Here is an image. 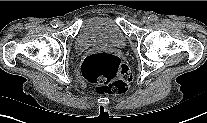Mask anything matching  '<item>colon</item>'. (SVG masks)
Returning <instances> with one entry per match:
<instances>
[{"mask_svg":"<svg viewBox=\"0 0 207 123\" xmlns=\"http://www.w3.org/2000/svg\"><path fill=\"white\" fill-rule=\"evenodd\" d=\"M83 77L94 84L97 93H125L132 81L128 65L118 57L99 53L87 57L82 64Z\"/></svg>","mask_w":207,"mask_h":123,"instance_id":"obj_1","label":"colon"}]
</instances>
